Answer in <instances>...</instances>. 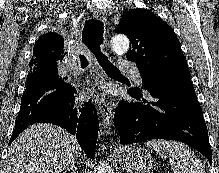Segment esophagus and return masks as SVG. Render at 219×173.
Returning a JSON list of instances; mask_svg holds the SVG:
<instances>
[{"instance_id": "obj_1", "label": "esophagus", "mask_w": 219, "mask_h": 173, "mask_svg": "<svg viewBox=\"0 0 219 173\" xmlns=\"http://www.w3.org/2000/svg\"><path fill=\"white\" fill-rule=\"evenodd\" d=\"M95 18H97L100 21L106 22L107 16L104 11L101 10H95L93 12ZM96 104L98 106L100 115H101V125L102 128L110 129L112 125V107L105 97V95H101L99 98L96 99Z\"/></svg>"}]
</instances>
